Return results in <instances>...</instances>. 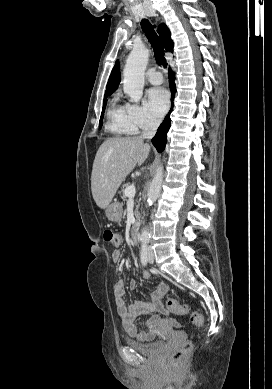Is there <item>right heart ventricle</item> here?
<instances>
[{
  "mask_svg": "<svg viewBox=\"0 0 272 389\" xmlns=\"http://www.w3.org/2000/svg\"><path fill=\"white\" fill-rule=\"evenodd\" d=\"M107 129L111 134L118 136L137 132L129 116L127 105L121 104L118 96L110 102L107 112Z\"/></svg>",
  "mask_w": 272,
  "mask_h": 389,
  "instance_id": "e07e8e85",
  "label": "right heart ventricle"
}]
</instances>
